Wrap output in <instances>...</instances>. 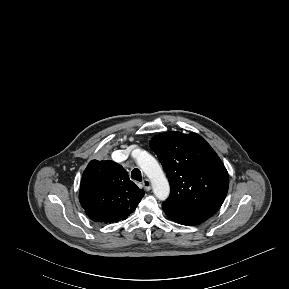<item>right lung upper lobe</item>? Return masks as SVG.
I'll return each mask as SVG.
<instances>
[{
  "label": "right lung upper lobe",
  "instance_id": "obj_1",
  "mask_svg": "<svg viewBox=\"0 0 289 289\" xmlns=\"http://www.w3.org/2000/svg\"><path fill=\"white\" fill-rule=\"evenodd\" d=\"M144 196L123 167L110 160H92L83 172L79 201L95 222L124 220Z\"/></svg>",
  "mask_w": 289,
  "mask_h": 289
}]
</instances>
